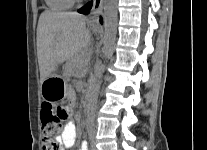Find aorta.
<instances>
[{"label":"aorta","mask_w":207,"mask_h":150,"mask_svg":"<svg viewBox=\"0 0 207 150\" xmlns=\"http://www.w3.org/2000/svg\"><path fill=\"white\" fill-rule=\"evenodd\" d=\"M104 37H103V57L109 58L113 52V46L117 33V0H104ZM105 65L101 64L95 72L96 81L93 86L90 98V108L94 110L98 100V94L102 82V74Z\"/></svg>","instance_id":"obj_1"}]
</instances>
